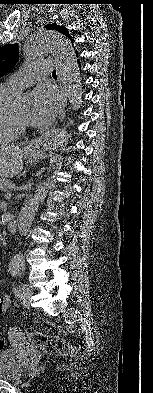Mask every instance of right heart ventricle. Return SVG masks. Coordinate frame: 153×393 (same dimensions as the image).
Listing matches in <instances>:
<instances>
[{
    "label": "right heart ventricle",
    "mask_w": 153,
    "mask_h": 393,
    "mask_svg": "<svg viewBox=\"0 0 153 393\" xmlns=\"http://www.w3.org/2000/svg\"><path fill=\"white\" fill-rule=\"evenodd\" d=\"M17 92L0 86V145L16 140L20 131L13 123L11 102Z\"/></svg>",
    "instance_id": "right-heart-ventricle-1"
}]
</instances>
